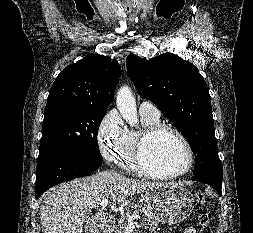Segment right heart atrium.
<instances>
[{"mask_svg":"<svg viewBox=\"0 0 253 233\" xmlns=\"http://www.w3.org/2000/svg\"><path fill=\"white\" fill-rule=\"evenodd\" d=\"M128 129L116 110L102 118L96 134L99 151L107 161L116 162L124 147Z\"/></svg>","mask_w":253,"mask_h":233,"instance_id":"d8ad5b80","label":"right heart atrium"}]
</instances>
